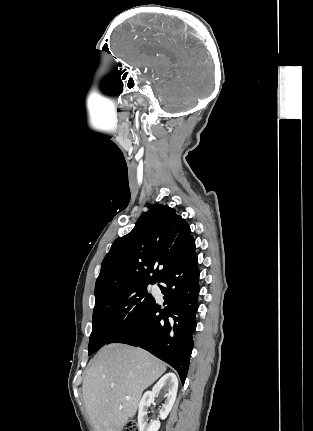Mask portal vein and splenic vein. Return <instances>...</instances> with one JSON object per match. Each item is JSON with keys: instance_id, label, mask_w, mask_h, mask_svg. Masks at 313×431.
I'll return each instance as SVG.
<instances>
[{"instance_id": "18ae733b", "label": "portal vein and splenic vein", "mask_w": 313, "mask_h": 431, "mask_svg": "<svg viewBox=\"0 0 313 431\" xmlns=\"http://www.w3.org/2000/svg\"><path fill=\"white\" fill-rule=\"evenodd\" d=\"M126 399H130V397H126Z\"/></svg>"}]
</instances>
